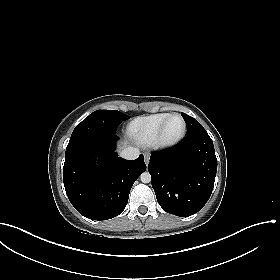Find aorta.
<instances>
[{
  "mask_svg": "<svg viewBox=\"0 0 280 280\" xmlns=\"http://www.w3.org/2000/svg\"><path fill=\"white\" fill-rule=\"evenodd\" d=\"M140 179L143 183H149L151 181V174L149 172H144L141 174Z\"/></svg>",
  "mask_w": 280,
  "mask_h": 280,
  "instance_id": "obj_1",
  "label": "aorta"
}]
</instances>
